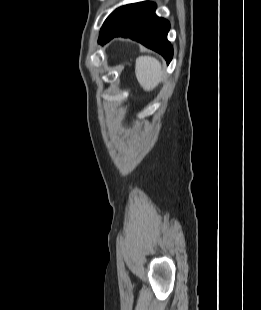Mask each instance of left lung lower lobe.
Returning <instances> with one entry per match:
<instances>
[{
    "label": "left lung lower lobe",
    "mask_w": 261,
    "mask_h": 310,
    "mask_svg": "<svg viewBox=\"0 0 261 310\" xmlns=\"http://www.w3.org/2000/svg\"><path fill=\"white\" fill-rule=\"evenodd\" d=\"M155 9L152 2L118 8L113 18L102 26L99 43H106L114 37H129L160 53L169 63L173 56V48L167 40L170 24L156 16Z\"/></svg>",
    "instance_id": "0a47b994"
}]
</instances>
